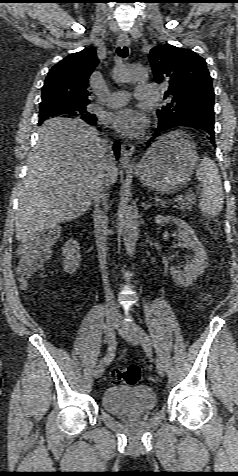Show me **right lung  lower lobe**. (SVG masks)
Masks as SVG:
<instances>
[{
  "instance_id": "obj_1",
  "label": "right lung lower lobe",
  "mask_w": 238,
  "mask_h": 476,
  "mask_svg": "<svg viewBox=\"0 0 238 476\" xmlns=\"http://www.w3.org/2000/svg\"><path fill=\"white\" fill-rule=\"evenodd\" d=\"M39 123H40V121H39ZM41 123H42V122H41ZM41 123H40V124H41ZM94 123H95V122L89 123V124H94ZM113 150H114V153H115L116 157L118 158V157H119V154H120V145H119L118 143H114V145H113Z\"/></svg>"
}]
</instances>
